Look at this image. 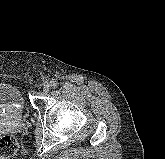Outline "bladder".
Returning <instances> with one entry per match:
<instances>
[{"label":"bladder","instance_id":"1","mask_svg":"<svg viewBox=\"0 0 165 159\" xmlns=\"http://www.w3.org/2000/svg\"><path fill=\"white\" fill-rule=\"evenodd\" d=\"M25 110L26 101L21 89L12 83L0 82V121L5 117L21 116Z\"/></svg>","mask_w":165,"mask_h":159}]
</instances>
